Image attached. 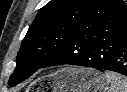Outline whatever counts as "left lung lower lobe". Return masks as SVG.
I'll return each mask as SVG.
<instances>
[{"mask_svg": "<svg viewBox=\"0 0 127 92\" xmlns=\"http://www.w3.org/2000/svg\"><path fill=\"white\" fill-rule=\"evenodd\" d=\"M63 64L106 69L127 76L125 4L77 33L41 68Z\"/></svg>", "mask_w": 127, "mask_h": 92, "instance_id": "obj_1", "label": "left lung lower lobe"}]
</instances>
